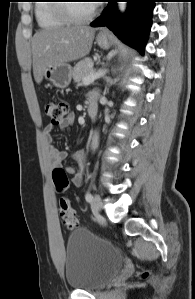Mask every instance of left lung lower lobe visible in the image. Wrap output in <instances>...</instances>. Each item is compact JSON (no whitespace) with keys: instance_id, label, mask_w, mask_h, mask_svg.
<instances>
[{"instance_id":"left-lung-lower-lobe-1","label":"left lung lower lobe","mask_w":195,"mask_h":299,"mask_svg":"<svg viewBox=\"0 0 195 299\" xmlns=\"http://www.w3.org/2000/svg\"><path fill=\"white\" fill-rule=\"evenodd\" d=\"M118 1L108 0L105 13L95 19L91 26H107L122 41L143 54L155 0H124L128 2V7L122 18L116 7Z\"/></svg>"}]
</instances>
